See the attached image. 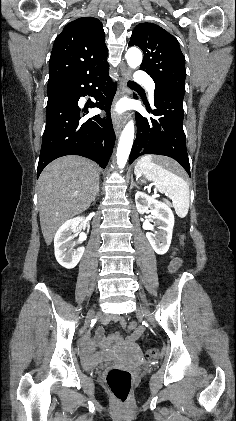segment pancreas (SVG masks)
<instances>
[{"label": "pancreas", "instance_id": "cf45deb5", "mask_svg": "<svg viewBox=\"0 0 236 421\" xmlns=\"http://www.w3.org/2000/svg\"><path fill=\"white\" fill-rule=\"evenodd\" d=\"M167 204H169V206H171V202H168V200H166Z\"/></svg>", "mask_w": 236, "mask_h": 421}]
</instances>
